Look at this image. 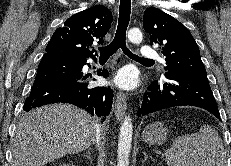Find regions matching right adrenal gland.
Here are the masks:
<instances>
[{"mask_svg":"<svg viewBox=\"0 0 231 166\" xmlns=\"http://www.w3.org/2000/svg\"><path fill=\"white\" fill-rule=\"evenodd\" d=\"M87 159H89L90 164H92V155H91V148H88L86 153L83 154Z\"/></svg>","mask_w":231,"mask_h":166,"instance_id":"right-adrenal-gland-1","label":"right adrenal gland"}]
</instances>
